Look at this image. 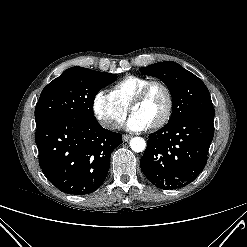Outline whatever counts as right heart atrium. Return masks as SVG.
Returning <instances> with one entry per match:
<instances>
[{"instance_id": "d8ad5b80", "label": "right heart atrium", "mask_w": 247, "mask_h": 247, "mask_svg": "<svg viewBox=\"0 0 247 247\" xmlns=\"http://www.w3.org/2000/svg\"><path fill=\"white\" fill-rule=\"evenodd\" d=\"M92 109L99 123L108 130L115 129L127 115V107L118 103L111 93L104 90L94 95Z\"/></svg>"}]
</instances>
